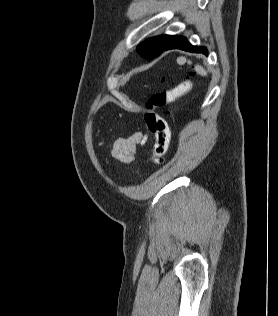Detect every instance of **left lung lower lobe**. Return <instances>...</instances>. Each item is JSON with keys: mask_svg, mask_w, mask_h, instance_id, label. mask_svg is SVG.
Wrapping results in <instances>:
<instances>
[{"mask_svg": "<svg viewBox=\"0 0 278 316\" xmlns=\"http://www.w3.org/2000/svg\"><path fill=\"white\" fill-rule=\"evenodd\" d=\"M170 49H181L184 51L203 53L205 55H208V51L205 47L193 46L183 36H175L172 41L166 46L164 51Z\"/></svg>", "mask_w": 278, "mask_h": 316, "instance_id": "1", "label": "left lung lower lobe"}]
</instances>
